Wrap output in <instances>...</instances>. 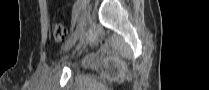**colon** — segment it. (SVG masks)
Masks as SVG:
<instances>
[{"mask_svg": "<svg viewBox=\"0 0 209 90\" xmlns=\"http://www.w3.org/2000/svg\"><path fill=\"white\" fill-rule=\"evenodd\" d=\"M51 28H52L53 37L56 41L62 42L65 40L67 36V30L61 22L59 21L53 22Z\"/></svg>", "mask_w": 209, "mask_h": 90, "instance_id": "obj_1", "label": "colon"}]
</instances>
